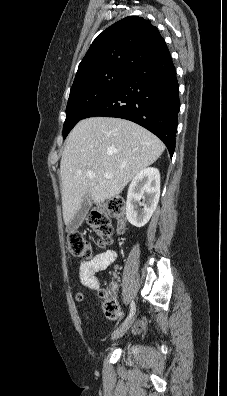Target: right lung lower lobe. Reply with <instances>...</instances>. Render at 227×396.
Here are the masks:
<instances>
[{
  "label": "right lung lower lobe",
  "instance_id": "1",
  "mask_svg": "<svg viewBox=\"0 0 227 396\" xmlns=\"http://www.w3.org/2000/svg\"><path fill=\"white\" fill-rule=\"evenodd\" d=\"M178 88L176 70L166 46L137 65L84 118L103 116L133 121L158 136L172 156L180 109Z\"/></svg>",
  "mask_w": 227,
  "mask_h": 396
}]
</instances>
